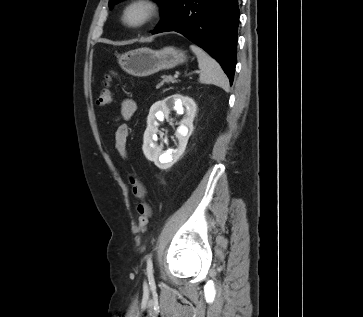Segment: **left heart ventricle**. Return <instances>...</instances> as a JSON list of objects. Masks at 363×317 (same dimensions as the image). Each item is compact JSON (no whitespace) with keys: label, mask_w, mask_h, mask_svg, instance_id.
I'll use <instances>...</instances> for the list:
<instances>
[{"label":"left heart ventricle","mask_w":363,"mask_h":317,"mask_svg":"<svg viewBox=\"0 0 363 317\" xmlns=\"http://www.w3.org/2000/svg\"><path fill=\"white\" fill-rule=\"evenodd\" d=\"M140 14H141L140 10H134L130 15V19L135 20L140 16Z\"/></svg>","instance_id":"left-heart-ventricle-1"}]
</instances>
